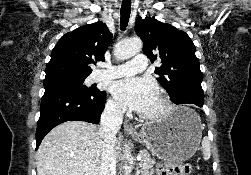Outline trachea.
<instances>
[{"mask_svg":"<svg viewBox=\"0 0 251 175\" xmlns=\"http://www.w3.org/2000/svg\"><path fill=\"white\" fill-rule=\"evenodd\" d=\"M131 12V0H123L120 11V28L125 30L130 17Z\"/></svg>","mask_w":251,"mask_h":175,"instance_id":"obj_1","label":"trachea"}]
</instances>
